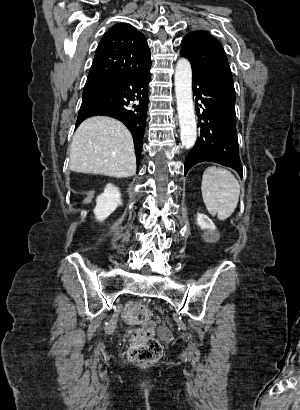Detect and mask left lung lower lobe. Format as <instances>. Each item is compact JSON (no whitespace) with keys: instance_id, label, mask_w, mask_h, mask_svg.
Here are the masks:
<instances>
[{"instance_id":"left-lung-lower-lobe-1","label":"left lung lower lobe","mask_w":300,"mask_h":410,"mask_svg":"<svg viewBox=\"0 0 300 410\" xmlns=\"http://www.w3.org/2000/svg\"><path fill=\"white\" fill-rule=\"evenodd\" d=\"M193 95L199 116V136L185 158L184 175L197 163L210 161L242 175L236 132L235 95L218 81L193 72ZM201 101V104L197 102ZM204 107L199 114V107Z\"/></svg>"}]
</instances>
